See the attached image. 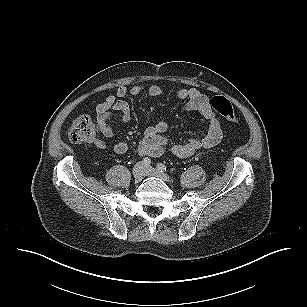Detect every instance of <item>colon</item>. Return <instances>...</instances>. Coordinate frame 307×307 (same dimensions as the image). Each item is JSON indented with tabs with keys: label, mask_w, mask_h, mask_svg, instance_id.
I'll return each mask as SVG.
<instances>
[{
	"label": "colon",
	"mask_w": 307,
	"mask_h": 307,
	"mask_svg": "<svg viewBox=\"0 0 307 307\" xmlns=\"http://www.w3.org/2000/svg\"><path fill=\"white\" fill-rule=\"evenodd\" d=\"M210 105L215 112L227 121L233 124L239 123L238 116L226 98L215 96L211 99ZM68 136L75 143L95 142L97 140V128L90 117L80 115L72 121Z\"/></svg>",
	"instance_id": "5ec220e1"
}]
</instances>
